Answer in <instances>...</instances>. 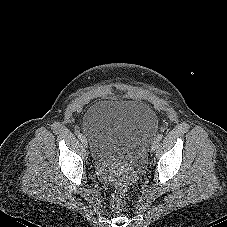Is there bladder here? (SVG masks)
Segmentation results:
<instances>
[{
  "instance_id": "1",
  "label": "bladder",
  "mask_w": 227,
  "mask_h": 227,
  "mask_svg": "<svg viewBox=\"0 0 227 227\" xmlns=\"http://www.w3.org/2000/svg\"><path fill=\"white\" fill-rule=\"evenodd\" d=\"M82 127L96 165L119 160L142 164L158 128L156 113L136 100H102L87 109Z\"/></svg>"
}]
</instances>
